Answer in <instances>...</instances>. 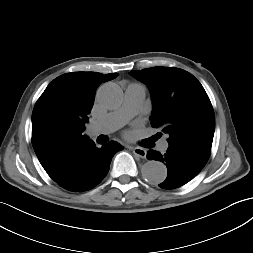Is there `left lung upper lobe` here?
<instances>
[{
    "mask_svg": "<svg viewBox=\"0 0 253 253\" xmlns=\"http://www.w3.org/2000/svg\"><path fill=\"white\" fill-rule=\"evenodd\" d=\"M151 92V125L168 134V144L188 145L210 153L215 115L200 82L189 72L174 67L131 71Z\"/></svg>",
    "mask_w": 253,
    "mask_h": 253,
    "instance_id": "5c2ea615",
    "label": "left lung upper lobe"
}]
</instances>
